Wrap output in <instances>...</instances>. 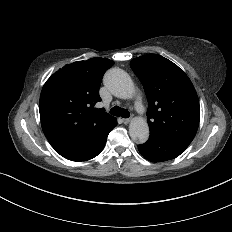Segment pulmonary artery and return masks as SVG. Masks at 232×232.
I'll list each match as a JSON object with an SVG mask.
<instances>
[{
    "instance_id": "obj_1",
    "label": "pulmonary artery",
    "mask_w": 232,
    "mask_h": 232,
    "mask_svg": "<svg viewBox=\"0 0 232 232\" xmlns=\"http://www.w3.org/2000/svg\"><path fill=\"white\" fill-rule=\"evenodd\" d=\"M135 100L136 101L134 103V107H135L138 115H140L142 117L147 116L148 111H147V109L144 108L143 103H142L144 100L143 94H141V93L136 94Z\"/></svg>"
}]
</instances>
